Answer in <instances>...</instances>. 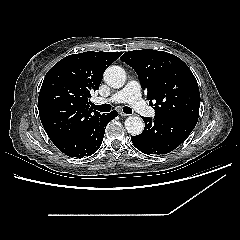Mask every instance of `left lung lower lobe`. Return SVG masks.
Listing matches in <instances>:
<instances>
[{
  "label": "left lung lower lobe",
  "mask_w": 240,
  "mask_h": 240,
  "mask_svg": "<svg viewBox=\"0 0 240 240\" xmlns=\"http://www.w3.org/2000/svg\"><path fill=\"white\" fill-rule=\"evenodd\" d=\"M145 122L144 131L132 136L133 145L145 154H166L178 147L194 129L198 117H142Z\"/></svg>",
  "instance_id": "left-lung-lower-lobe-1"
}]
</instances>
